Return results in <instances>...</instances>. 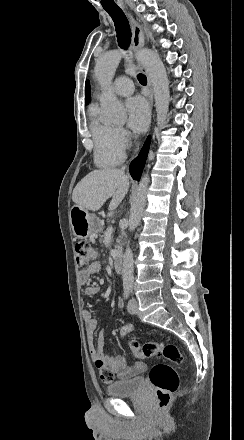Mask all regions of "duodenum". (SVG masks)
Listing matches in <instances>:
<instances>
[{
	"label": "duodenum",
	"mask_w": 244,
	"mask_h": 440,
	"mask_svg": "<svg viewBox=\"0 0 244 440\" xmlns=\"http://www.w3.org/2000/svg\"><path fill=\"white\" fill-rule=\"evenodd\" d=\"M113 268L116 273H121L123 270V256L120 253H117L113 257Z\"/></svg>",
	"instance_id": "410a0bca"
}]
</instances>
